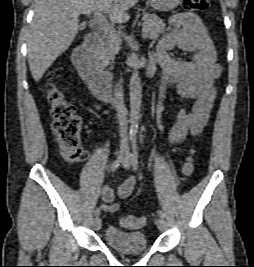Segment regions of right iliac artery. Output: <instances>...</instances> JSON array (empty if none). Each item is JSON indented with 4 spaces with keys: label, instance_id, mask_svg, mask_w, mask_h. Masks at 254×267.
I'll list each match as a JSON object with an SVG mask.
<instances>
[{
    "label": "right iliac artery",
    "instance_id": "82829eb1",
    "mask_svg": "<svg viewBox=\"0 0 254 267\" xmlns=\"http://www.w3.org/2000/svg\"><path fill=\"white\" fill-rule=\"evenodd\" d=\"M120 163H121V158H118L116 159L110 166V171L111 172H114L119 166H120ZM95 216H99L100 215V209L99 208H96L95 212H94Z\"/></svg>",
    "mask_w": 254,
    "mask_h": 267
}]
</instances>
